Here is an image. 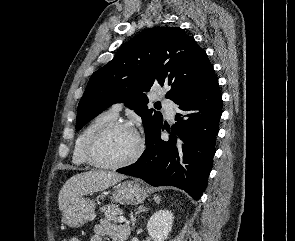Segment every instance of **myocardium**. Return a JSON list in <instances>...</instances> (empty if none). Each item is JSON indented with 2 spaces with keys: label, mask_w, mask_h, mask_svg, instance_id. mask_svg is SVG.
Masks as SVG:
<instances>
[{
  "label": "myocardium",
  "mask_w": 295,
  "mask_h": 241,
  "mask_svg": "<svg viewBox=\"0 0 295 241\" xmlns=\"http://www.w3.org/2000/svg\"><path fill=\"white\" fill-rule=\"evenodd\" d=\"M116 128H127L131 130L137 139V149L135 153L127 160L119 162V163H108L101 160L97 154V148L101 140L112 130ZM145 150V141L144 138L141 136V134L138 132L136 127L132 125L131 123L125 121V120H119L115 119L112 121H109L99 127L95 133L91 136L89 139L87 146H86V157L91 165L101 168V169H121L127 166H130L137 162L141 156L143 155Z\"/></svg>",
  "instance_id": "1"
}]
</instances>
